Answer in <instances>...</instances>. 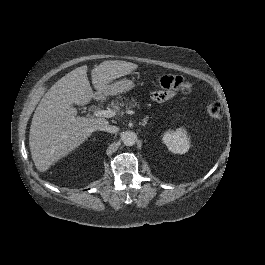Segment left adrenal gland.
Wrapping results in <instances>:
<instances>
[{"instance_id": "a2214340", "label": "left adrenal gland", "mask_w": 265, "mask_h": 265, "mask_svg": "<svg viewBox=\"0 0 265 265\" xmlns=\"http://www.w3.org/2000/svg\"><path fill=\"white\" fill-rule=\"evenodd\" d=\"M148 118H149V117L146 116V117L143 119L142 123H139V125L145 126L146 123H147Z\"/></svg>"}]
</instances>
